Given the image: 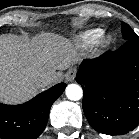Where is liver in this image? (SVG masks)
I'll use <instances>...</instances> for the list:
<instances>
[{"label": "liver", "instance_id": "1", "mask_svg": "<svg viewBox=\"0 0 139 139\" xmlns=\"http://www.w3.org/2000/svg\"><path fill=\"white\" fill-rule=\"evenodd\" d=\"M79 60L72 43L62 36L43 33L31 41L0 36V102L22 103L35 96L43 74L61 80L62 71Z\"/></svg>", "mask_w": 139, "mask_h": 139}]
</instances>
